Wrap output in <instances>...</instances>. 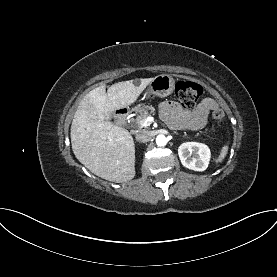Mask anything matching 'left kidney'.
<instances>
[{
    "instance_id": "obj_1",
    "label": "left kidney",
    "mask_w": 277,
    "mask_h": 277,
    "mask_svg": "<svg viewBox=\"0 0 277 277\" xmlns=\"http://www.w3.org/2000/svg\"><path fill=\"white\" fill-rule=\"evenodd\" d=\"M178 155L182 165L194 171H204L210 161V149L198 142H186L179 146Z\"/></svg>"
}]
</instances>
